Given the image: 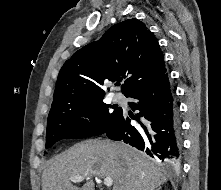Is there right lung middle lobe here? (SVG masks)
Listing matches in <instances>:
<instances>
[{
    "label": "right lung middle lobe",
    "mask_w": 221,
    "mask_h": 190,
    "mask_svg": "<svg viewBox=\"0 0 221 190\" xmlns=\"http://www.w3.org/2000/svg\"><path fill=\"white\" fill-rule=\"evenodd\" d=\"M110 108L115 109L112 111ZM121 112V108L104 103L103 98L51 107L47 120L46 148L65 138L81 139L104 134ZM81 116L88 117L90 122Z\"/></svg>",
    "instance_id": "dd1d6c3e"
}]
</instances>
